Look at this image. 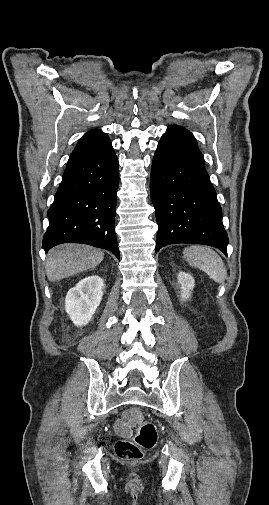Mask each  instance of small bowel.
Returning a JSON list of instances; mask_svg holds the SVG:
<instances>
[{
  "mask_svg": "<svg viewBox=\"0 0 269 505\" xmlns=\"http://www.w3.org/2000/svg\"><path fill=\"white\" fill-rule=\"evenodd\" d=\"M131 412H127L123 418L119 419L115 424V429L122 436H129L132 433L133 423L130 421Z\"/></svg>",
  "mask_w": 269,
  "mask_h": 505,
  "instance_id": "obj_1",
  "label": "small bowel"
}]
</instances>
